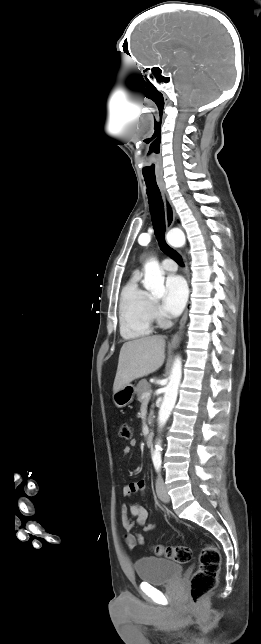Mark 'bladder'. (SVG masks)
I'll return each mask as SVG.
<instances>
[{"mask_svg": "<svg viewBox=\"0 0 261 644\" xmlns=\"http://www.w3.org/2000/svg\"><path fill=\"white\" fill-rule=\"evenodd\" d=\"M134 566L138 578L153 585L171 583L183 572L179 563L155 556L141 557Z\"/></svg>", "mask_w": 261, "mask_h": 644, "instance_id": "1", "label": "bladder"}]
</instances>
